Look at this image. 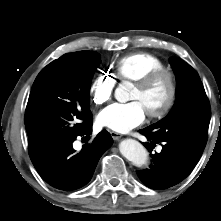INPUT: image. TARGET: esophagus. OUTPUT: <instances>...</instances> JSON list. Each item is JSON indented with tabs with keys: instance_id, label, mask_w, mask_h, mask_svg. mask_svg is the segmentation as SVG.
<instances>
[{
	"instance_id": "esophagus-1",
	"label": "esophagus",
	"mask_w": 221,
	"mask_h": 221,
	"mask_svg": "<svg viewBox=\"0 0 221 221\" xmlns=\"http://www.w3.org/2000/svg\"><path fill=\"white\" fill-rule=\"evenodd\" d=\"M110 134H111V137L114 140H118V139H120L122 137V135L120 133H117V132H114V131H111Z\"/></svg>"
}]
</instances>
